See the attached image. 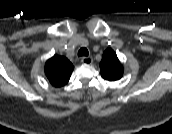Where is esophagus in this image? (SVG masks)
I'll return each instance as SVG.
<instances>
[{
  "label": "esophagus",
  "mask_w": 172,
  "mask_h": 134,
  "mask_svg": "<svg viewBox=\"0 0 172 134\" xmlns=\"http://www.w3.org/2000/svg\"><path fill=\"white\" fill-rule=\"evenodd\" d=\"M81 62L83 64L91 65L93 63L92 57H82Z\"/></svg>",
  "instance_id": "1"
}]
</instances>
